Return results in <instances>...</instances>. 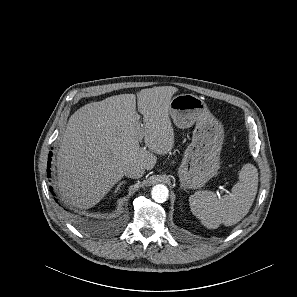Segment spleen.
Segmentation results:
<instances>
[{
    "label": "spleen",
    "mask_w": 297,
    "mask_h": 297,
    "mask_svg": "<svg viewBox=\"0 0 297 297\" xmlns=\"http://www.w3.org/2000/svg\"><path fill=\"white\" fill-rule=\"evenodd\" d=\"M257 189L258 170L253 164H245L230 194L217 197L212 191H198L191 195V212L209 229L218 228L220 224L234 225L249 212Z\"/></svg>",
    "instance_id": "3e777b00"
}]
</instances>
